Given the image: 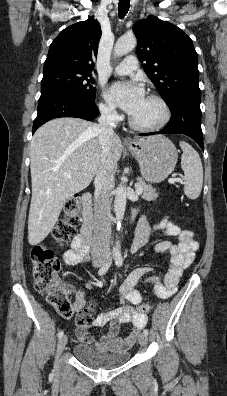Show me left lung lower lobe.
Instances as JSON below:
<instances>
[{"label":"left lung lower lobe","mask_w":227,"mask_h":396,"mask_svg":"<svg viewBox=\"0 0 227 396\" xmlns=\"http://www.w3.org/2000/svg\"><path fill=\"white\" fill-rule=\"evenodd\" d=\"M171 109L169 123L158 132L140 134H185L195 140L204 150L201 130L200 93H182L168 104Z\"/></svg>","instance_id":"0a47b994"}]
</instances>
